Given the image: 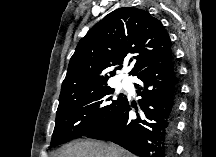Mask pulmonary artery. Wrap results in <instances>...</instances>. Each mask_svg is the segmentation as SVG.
<instances>
[{"mask_svg": "<svg viewBox=\"0 0 216 157\" xmlns=\"http://www.w3.org/2000/svg\"><path fill=\"white\" fill-rule=\"evenodd\" d=\"M121 85L124 87V88H129L130 87V82L127 80V79H123L121 81Z\"/></svg>", "mask_w": 216, "mask_h": 157, "instance_id": "e3ab8cb5", "label": "pulmonary artery"}]
</instances>
